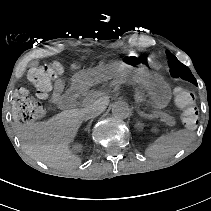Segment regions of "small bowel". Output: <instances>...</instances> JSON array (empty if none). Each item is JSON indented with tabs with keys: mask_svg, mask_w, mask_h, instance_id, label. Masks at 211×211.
<instances>
[{
	"mask_svg": "<svg viewBox=\"0 0 211 211\" xmlns=\"http://www.w3.org/2000/svg\"><path fill=\"white\" fill-rule=\"evenodd\" d=\"M63 89H64L63 81L61 80L56 81L53 86V90L50 96L48 97L49 101L52 103H58L59 99L62 97Z\"/></svg>",
	"mask_w": 211,
	"mask_h": 211,
	"instance_id": "c3829d8e",
	"label": "small bowel"
}]
</instances>
